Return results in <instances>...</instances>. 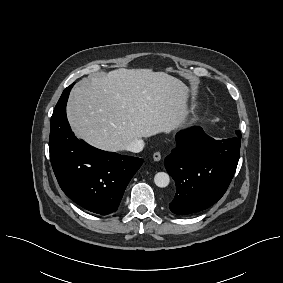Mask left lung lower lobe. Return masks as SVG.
<instances>
[{"mask_svg":"<svg viewBox=\"0 0 283 283\" xmlns=\"http://www.w3.org/2000/svg\"><path fill=\"white\" fill-rule=\"evenodd\" d=\"M176 143L165 159L176 184L169 208L188 215L207 209L224 195L237 168L241 137L215 140L201 127H194L181 131Z\"/></svg>","mask_w":283,"mask_h":283,"instance_id":"left-lung-lower-lobe-1","label":"left lung lower lobe"}]
</instances>
